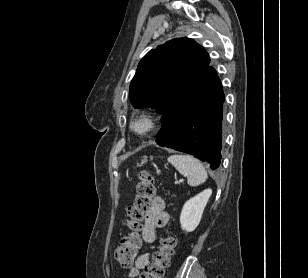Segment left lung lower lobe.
I'll list each match as a JSON object with an SVG mask.
<instances>
[{
    "mask_svg": "<svg viewBox=\"0 0 308 278\" xmlns=\"http://www.w3.org/2000/svg\"><path fill=\"white\" fill-rule=\"evenodd\" d=\"M225 100L215 69L208 66L195 76L162 113L163 128L157 144L189 153L220 165L222 147V109Z\"/></svg>",
    "mask_w": 308,
    "mask_h": 278,
    "instance_id": "1",
    "label": "left lung lower lobe"
}]
</instances>
